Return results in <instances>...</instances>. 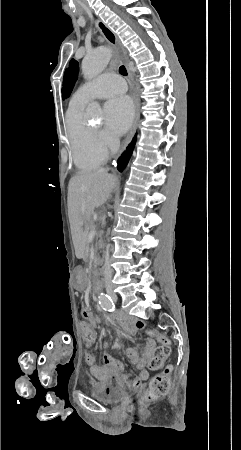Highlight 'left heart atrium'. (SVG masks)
Returning <instances> with one entry per match:
<instances>
[{
  "instance_id": "1",
  "label": "left heart atrium",
  "mask_w": 241,
  "mask_h": 450,
  "mask_svg": "<svg viewBox=\"0 0 241 450\" xmlns=\"http://www.w3.org/2000/svg\"><path fill=\"white\" fill-rule=\"evenodd\" d=\"M106 111L108 115L107 126L114 135L119 136L125 133L134 120L133 102L126 95H120L115 102H108Z\"/></svg>"
}]
</instances>
